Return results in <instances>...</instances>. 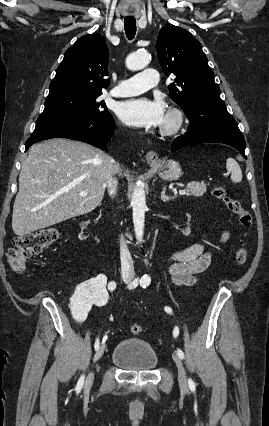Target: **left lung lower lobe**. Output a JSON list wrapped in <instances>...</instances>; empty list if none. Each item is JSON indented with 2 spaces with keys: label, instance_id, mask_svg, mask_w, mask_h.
<instances>
[{
  "label": "left lung lower lobe",
  "instance_id": "0a47b994",
  "mask_svg": "<svg viewBox=\"0 0 269 426\" xmlns=\"http://www.w3.org/2000/svg\"><path fill=\"white\" fill-rule=\"evenodd\" d=\"M186 116L190 121L188 130L173 141L172 152L189 145L213 142L230 145L247 158L244 136L224 103L214 106L198 105Z\"/></svg>",
  "mask_w": 269,
  "mask_h": 426
}]
</instances>
